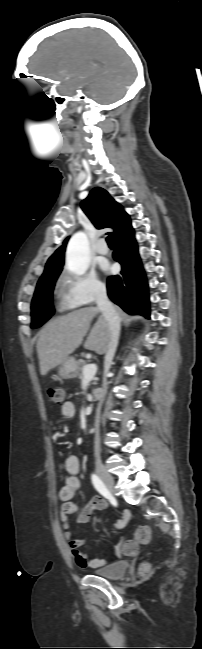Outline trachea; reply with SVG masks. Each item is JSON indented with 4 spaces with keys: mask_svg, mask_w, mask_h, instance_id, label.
I'll return each mask as SVG.
<instances>
[{
    "mask_svg": "<svg viewBox=\"0 0 202 649\" xmlns=\"http://www.w3.org/2000/svg\"><path fill=\"white\" fill-rule=\"evenodd\" d=\"M106 241H107L108 245H113V237H112L111 235H109V236L106 238Z\"/></svg>",
    "mask_w": 202,
    "mask_h": 649,
    "instance_id": "3493384b",
    "label": "trachea"
}]
</instances>
